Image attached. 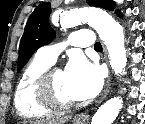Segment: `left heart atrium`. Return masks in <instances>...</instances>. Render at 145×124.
I'll return each instance as SVG.
<instances>
[{
    "instance_id": "left-heart-atrium-1",
    "label": "left heart atrium",
    "mask_w": 145,
    "mask_h": 124,
    "mask_svg": "<svg viewBox=\"0 0 145 124\" xmlns=\"http://www.w3.org/2000/svg\"><path fill=\"white\" fill-rule=\"evenodd\" d=\"M68 90L75 100L94 97L102 86L98 68L82 56H73L65 70Z\"/></svg>"
}]
</instances>
